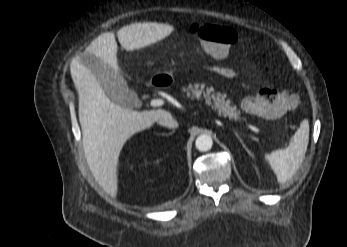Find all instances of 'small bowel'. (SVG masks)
I'll use <instances>...</instances> for the list:
<instances>
[{
  "instance_id": "1",
  "label": "small bowel",
  "mask_w": 347,
  "mask_h": 247,
  "mask_svg": "<svg viewBox=\"0 0 347 247\" xmlns=\"http://www.w3.org/2000/svg\"><path fill=\"white\" fill-rule=\"evenodd\" d=\"M209 69L214 73L228 79H232L237 75L234 69L226 66H210Z\"/></svg>"
}]
</instances>
